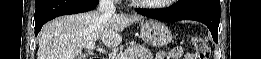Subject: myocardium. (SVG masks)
Listing matches in <instances>:
<instances>
[{"mask_svg":"<svg viewBox=\"0 0 261 59\" xmlns=\"http://www.w3.org/2000/svg\"><path fill=\"white\" fill-rule=\"evenodd\" d=\"M171 1H174V0H166L162 4H150V3H143V2H138V1H135V3L138 6L143 7V8L157 9V8H162V7L166 6V3H170Z\"/></svg>","mask_w":261,"mask_h":59,"instance_id":"f54148a6","label":"myocardium"}]
</instances>
